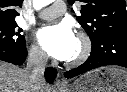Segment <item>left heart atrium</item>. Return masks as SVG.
<instances>
[{"instance_id":"obj_1","label":"left heart atrium","mask_w":127,"mask_h":92,"mask_svg":"<svg viewBox=\"0 0 127 92\" xmlns=\"http://www.w3.org/2000/svg\"><path fill=\"white\" fill-rule=\"evenodd\" d=\"M37 38L45 52L56 59L69 60L75 51L77 39L67 23L45 26Z\"/></svg>"}]
</instances>
